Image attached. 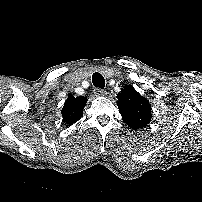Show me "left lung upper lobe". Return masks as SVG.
I'll return each instance as SVG.
<instances>
[{"instance_id": "1", "label": "left lung upper lobe", "mask_w": 202, "mask_h": 202, "mask_svg": "<svg viewBox=\"0 0 202 202\" xmlns=\"http://www.w3.org/2000/svg\"><path fill=\"white\" fill-rule=\"evenodd\" d=\"M118 108L123 121L133 129H139L149 124L151 105L132 85H126L117 94Z\"/></svg>"}]
</instances>
